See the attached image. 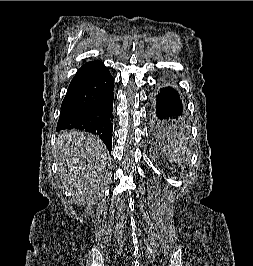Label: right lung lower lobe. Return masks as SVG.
Masks as SVG:
<instances>
[{
  "mask_svg": "<svg viewBox=\"0 0 253 266\" xmlns=\"http://www.w3.org/2000/svg\"><path fill=\"white\" fill-rule=\"evenodd\" d=\"M114 78L100 61L84 64L72 79L61 105L57 131L85 130L112 150Z\"/></svg>",
  "mask_w": 253,
  "mask_h": 266,
  "instance_id": "right-lung-lower-lobe-1",
  "label": "right lung lower lobe"
}]
</instances>
